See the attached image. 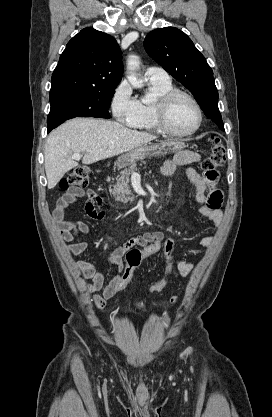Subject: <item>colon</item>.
Wrapping results in <instances>:
<instances>
[{
	"mask_svg": "<svg viewBox=\"0 0 272 417\" xmlns=\"http://www.w3.org/2000/svg\"><path fill=\"white\" fill-rule=\"evenodd\" d=\"M212 147L210 155L202 162V168L206 172L215 171L216 168L222 166L226 160V149L222 142L212 137ZM90 179V171L88 167L79 166L74 168L69 175L60 183L62 189L69 187L84 188L88 186ZM174 250V241L168 237H157L154 239L140 242L131 248L125 255L126 265L124 272L116 285V293L121 292L132 280L135 271L146 259L156 255L163 254L165 257V268L160 276L151 286L149 291L157 294L163 290L167 284L168 278L173 269L172 253ZM178 296L172 298V303H176ZM139 307L143 304L139 303Z\"/></svg>",
	"mask_w": 272,
	"mask_h": 417,
	"instance_id": "obj_1",
	"label": "colon"
}]
</instances>
